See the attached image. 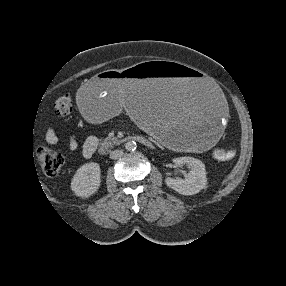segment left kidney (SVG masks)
Listing matches in <instances>:
<instances>
[{"mask_svg": "<svg viewBox=\"0 0 286 286\" xmlns=\"http://www.w3.org/2000/svg\"><path fill=\"white\" fill-rule=\"evenodd\" d=\"M176 166H187L189 172L185 179L170 178L165 179L166 185L182 195H194L205 188L207 184L205 165L202 161L193 157H178L173 159Z\"/></svg>", "mask_w": 286, "mask_h": 286, "instance_id": "obj_1", "label": "left kidney"}]
</instances>
